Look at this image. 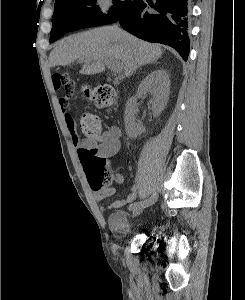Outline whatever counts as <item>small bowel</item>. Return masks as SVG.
Wrapping results in <instances>:
<instances>
[{
    "instance_id": "c3829d8e",
    "label": "small bowel",
    "mask_w": 245,
    "mask_h": 300,
    "mask_svg": "<svg viewBox=\"0 0 245 300\" xmlns=\"http://www.w3.org/2000/svg\"><path fill=\"white\" fill-rule=\"evenodd\" d=\"M60 106L62 113L64 115V121L66 128L70 134L71 142L73 146L77 149V153L79 155V151L82 148H91L93 147V143L91 141H88L86 139H80L76 132V122L73 118V116L70 113L68 102L66 98L60 99ZM121 131L117 126H111L99 137L98 144L96 145L97 153L99 156L109 159L116 155L121 147ZM80 158V157H79ZM113 179L116 183H122L124 178L123 175L120 172H115L113 174ZM138 193V186L134 185L131 188L130 193L127 195L125 199L117 200L112 204V207L117 208L122 206L126 202H131L136 199ZM114 194V190H109L107 192H99L94 195V198L96 201L100 202L105 197L111 196Z\"/></svg>"
}]
</instances>
